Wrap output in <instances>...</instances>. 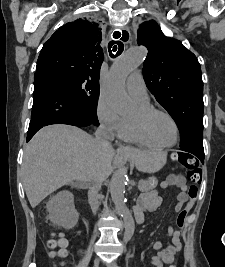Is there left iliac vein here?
Returning <instances> with one entry per match:
<instances>
[{"label":"left iliac vein","instance_id":"4c4485c4","mask_svg":"<svg viewBox=\"0 0 225 267\" xmlns=\"http://www.w3.org/2000/svg\"><path fill=\"white\" fill-rule=\"evenodd\" d=\"M108 267H119V266L115 263H110V264H108Z\"/></svg>","mask_w":225,"mask_h":267}]
</instances>
